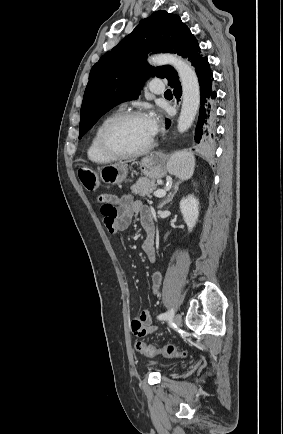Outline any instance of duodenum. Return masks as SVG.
Instances as JSON below:
<instances>
[{
	"mask_svg": "<svg viewBox=\"0 0 283 434\" xmlns=\"http://www.w3.org/2000/svg\"><path fill=\"white\" fill-rule=\"evenodd\" d=\"M146 232H147V238H148L149 240H153V236H154L153 226H149V227L146 229Z\"/></svg>",
	"mask_w": 283,
	"mask_h": 434,
	"instance_id": "410a0bca",
	"label": "duodenum"
}]
</instances>
